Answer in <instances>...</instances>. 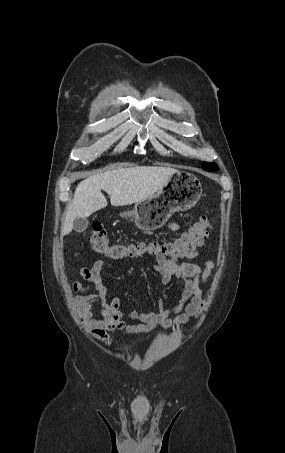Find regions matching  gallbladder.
Instances as JSON below:
<instances>
[{"instance_id":"bac80fb5","label":"gallbladder","mask_w":285,"mask_h":453,"mask_svg":"<svg viewBox=\"0 0 285 453\" xmlns=\"http://www.w3.org/2000/svg\"><path fill=\"white\" fill-rule=\"evenodd\" d=\"M88 227V220L87 218H76L73 222V229L76 232H84Z\"/></svg>"}]
</instances>
